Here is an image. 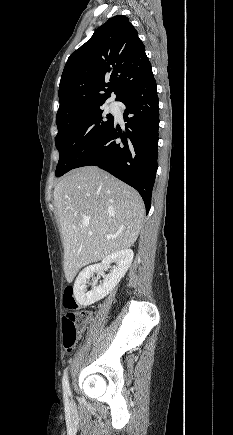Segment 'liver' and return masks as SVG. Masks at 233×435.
I'll return each mask as SVG.
<instances>
[{"label": "liver", "mask_w": 233, "mask_h": 435, "mask_svg": "<svg viewBox=\"0 0 233 435\" xmlns=\"http://www.w3.org/2000/svg\"><path fill=\"white\" fill-rule=\"evenodd\" d=\"M54 205L64 239L68 282L82 267L131 247L145 212L136 190L96 166L74 169L62 178L54 189ZM84 221H89L87 227Z\"/></svg>", "instance_id": "obj_1"}]
</instances>
